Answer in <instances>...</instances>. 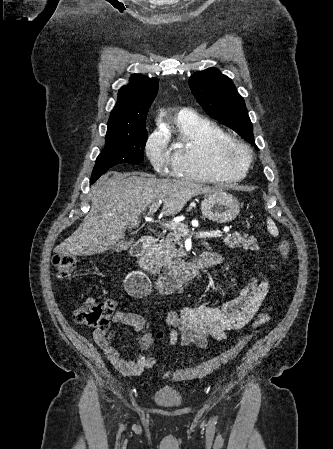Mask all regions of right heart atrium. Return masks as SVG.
I'll list each match as a JSON object with an SVG mask.
<instances>
[{
	"label": "right heart atrium",
	"mask_w": 333,
	"mask_h": 449,
	"mask_svg": "<svg viewBox=\"0 0 333 449\" xmlns=\"http://www.w3.org/2000/svg\"><path fill=\"white\" fill-rule=\"evenodd\" d=\"M145 153L156 172L167 173L172 166V155L168 149L167 140L160 133L149 135L145 143Z\"/></svg>",
	"instance_id": "right-heart-atrium-1"
}]
</instances>
